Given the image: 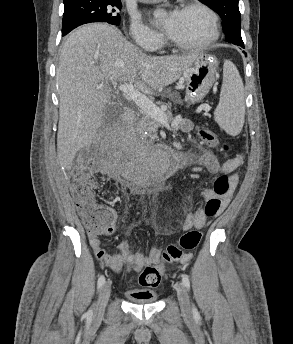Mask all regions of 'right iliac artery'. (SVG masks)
Masks as SVG:
<instances>
[{
	"instance_id": "1",
	"label": "right iliac artery",
	"mask_w": 293,
	"mask_h": 344,
	"mask_svg": "<svg viewBox=\"0 0 293 344\" xmlns=\"http://www.w3.org/2000/svg\"><path fill=\"white\" fill-rule=\"evenodd\" d=\"M105 283V277L103 275H101L98 279V283H97V287L98 289H100ZM89 316H92L93 315V310L90 309L87 313Z\"/></svg>"
}]
</instances>
